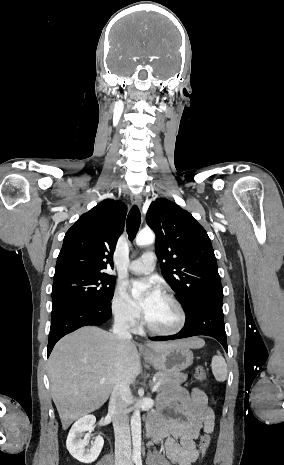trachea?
<instances>
[{
    "label": "trachea",
    "mask_w": 284,
    "mask_h": 465,
    "mask_svg": "<svg viewBox=\"0 0 284 465\" xmlns=\"http://www.w3.org/2000/svg\"><path fill=\"white\" fill-rule=\"evenodd\" d=\"M141 223V213L137 206H133L128 213L126 227L128 238L132 242L139 230Z\"/></svg>",
    "instance_id": "trachea-1"
}]
</instances>
